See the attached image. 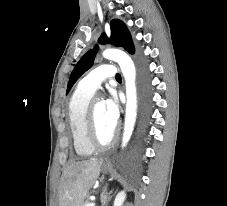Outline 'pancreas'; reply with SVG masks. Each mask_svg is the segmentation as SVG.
I'll list each match as a JSON object with an SVG mask.
<instances>
[{"label": "pancreas", "mask_w": 227, "mask_h": 206, "mask_svg": "<svg viewBox=\"0 0 227 206\" xmlns=\"http://www.w3.org/2000/svg\"><path fill=\"white\" fill-rule=\"evenodd\" d=\"M88 203H89L88 200H86V201L82 204V206H86Z\"/></svg>", "instance_id": "cf45deb5"}]
</instances>
